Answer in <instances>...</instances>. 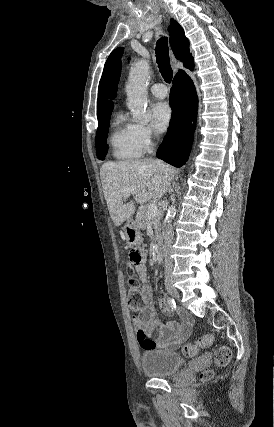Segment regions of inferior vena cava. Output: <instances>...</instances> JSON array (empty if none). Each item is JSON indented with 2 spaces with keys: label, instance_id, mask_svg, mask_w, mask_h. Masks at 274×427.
Listing matches in <instances>:
<instances>
[{
  "label": "inferior vena cava",
  "instance_id": "inferior-vena-cava-1",
  "mask_svg": "<svg viewBox=\"0 0 274 427\" xmlns=\"http://www.w3.org/2000/svg\"><path fill=\"white\" fill-rule=\"evenodd\" d=\"M173 235H174L173 227L169 223L164 235V251L165 253H167V255H165L164 257L166 267H168V265H171L172 263V259H170L168 253L173 243Z\"/></svg>",
  "mask_w": 274,
  "mask_h": 427
}]
</instances>
